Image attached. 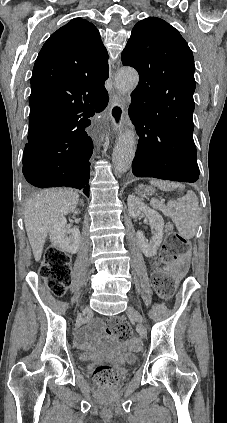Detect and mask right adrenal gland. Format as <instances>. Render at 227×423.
Masks as SVG:
<instances>
[{"label":"right adrenal gland","instance_id":"obj_1","mask_svg":"<svg viewBox=\"0 0 227 423\" xmlns=\"http://www.w3.org/2000/svg\"><path fill=\"white\" fill-rule=\"evenodd\" d=\"M82 206H84L83 202H81Z\"/></svg>","mask_w":227,"mask_h":423}]
</instances>
